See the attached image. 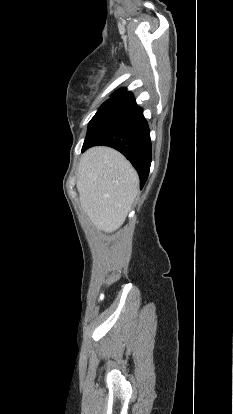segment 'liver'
Listing matches in <instances>:
<instances>
[{
  "label": "liver",
  "mask_w": 233,
  "mask_h": 414,
  "mask_svg": "<svg viewBox=\"0 0 233 414\" xmlns=\"http://www.w3.org/2000/svg\"><path fill=\"white\" fill-rule=\"evenodd\" d=\"M138 187L136 170L118 151L98 146L82 155L77 173L79 199L98 230L112 233L122 226Z\"/></svg>",
  "instance_id": "liver-1"
}]
</instances>
